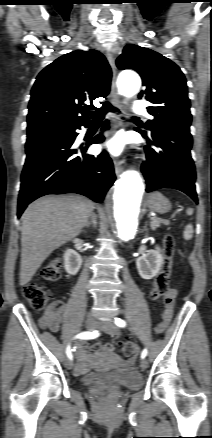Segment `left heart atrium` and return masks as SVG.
<instances>
[{"label":"left heart atrium","mask_w":212,"mask_h":438,"mask_svg":"<svg viewBox=\"0 0 212 438\" xmlns=\"http://www.w3.org/2000/svg\"><path fill=\"white\" fill-rule=\"evenodd\" d=\"M102 148L113 156H119L124 150V141L121 137L115 136L105 141Z\"/></svg>","instance_id":"39dd6f15"}]
</instances>
